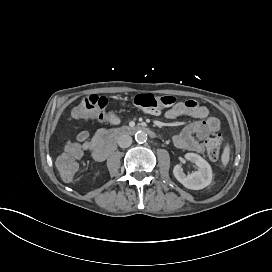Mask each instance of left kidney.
I'll return each instance as SVG.
<instances>
[{
  "mask_svg": "<svg viewBox=\"0 0 272 272\" xmlns=\"http://www.w3.org/2000/svg\"><path fill=\"white\" fill-rule=\"evenodd\" d=\"M183 160H190L199 167L197 171H194L193 173L187 175L183 172L180 163L174 166V176L185 187L198 190L206 187L211 183L212 169L207 161H205L201 156L195 153H186L183 157Z\"/></svg>",
  "mask_w": 272,
  "mask_h": 272,
  "instance_id": "obj_1",
  "label": "left kidney"
}]
</instances>
